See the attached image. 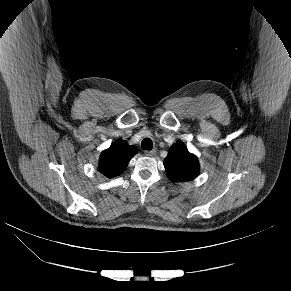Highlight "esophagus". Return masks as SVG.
Wrapping results in <instances>:
<instances>
[{
  "instance_id": "34e87169",
  "label": "esophagus",
  "mask_w": 291,
  "mask_h": 291,
  "mask_svg": "<svg viewBox=\"0 0 291 291\" xmlns=\"http://www.w3.org/2000/svg\"><path fill=\"white\" fill-rule=\"evenodd\" d=\"M148 155L153 156L156 154V149L146 152Z\"/></svg>"
}]
</instances>
